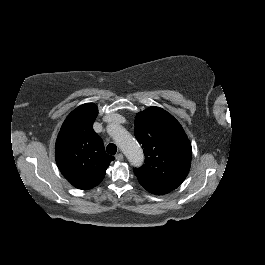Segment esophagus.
I'll return each instance as SVG.
<instances>
[{
	"label": "esophagus",
	"mask_w": 265,
	"mask_h": 265,
	"mask_svg": "<svg viewBox=\"0 0 265 265\" xmlns=\"http://www.w3.org/2000/svg\"><path fill=\"white\" fill-rule=\"evenodd\" d=\"M115 158H116L117 161H122V160L124 159V156H123L122 153H119V154H117V155L115 156Z\"/></svg>",
	"instance_id": "esophagus-1"
}]
</instances>
